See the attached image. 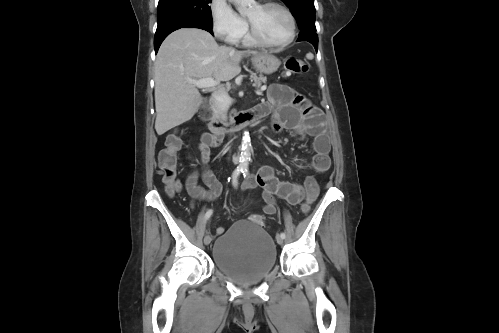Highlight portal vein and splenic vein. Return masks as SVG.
Here are the masks:
<instances>
[{
	"mask_svg": "<svg viewBox=\"0 0 499 333\" xmlns=\"http://www.w3.org/2000/svg\"><path fill=\"white\" fill-rule=\"evenodd\" d=\"M187 82L196 85L198 88H211L218 85V82L214 80L212 77H207L199 80L187 79ZM264 90H266V86L261 87L260 91L257 93L262 94Z\"/></svg>",
	"mask_w": 499,
	"mask_h": 333,
	"instance_id": "1",
	"label": "portal vein and splenic vein"
}]
</instances>
